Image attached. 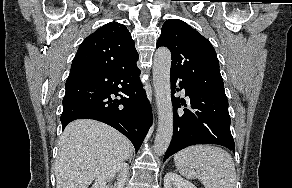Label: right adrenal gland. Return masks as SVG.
I'll use <instances>...</instances> for the list:
<instances>
[{
	"label": "right adrenal gland",
	"instance_id": "1",
	"mask_svg": "<svg viewBox=\"0 0 292 188\" xmlns=\"http://www.w3.org/2000/svg\"><path fill=\"white\" fill-rule=\"evenodd\" d=\"M132 154L129 156V162H131V160H132Z\"/></svg>",
	"mask_w": 292,
	"mask_h": 188
}]
</instances>
